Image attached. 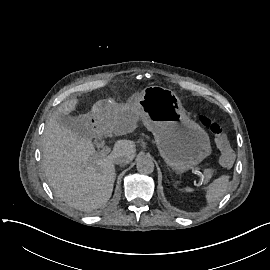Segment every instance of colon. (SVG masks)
Returning <instances> with one entry per match:
<instances>
[{
  "label": "colon",
  "instance_id": "1",
  "mask_svg": "<svg viewBox=\"0 0 270 270\" xmlns=\"http://www.w3.org/2000/svg\"><path fill=\"white\" fill-rule=\"evenodd\" d=\"M200 124L208 129L215 139L217 148L222 153L220 160L219 171L223 175H229L233 171V150L228 138L225 136L222 126L214 122L209 116L201 115L199 117Z\"/></svg>",
  "mask_w": 270,
  "mask_h": 270
}]
</instances>
